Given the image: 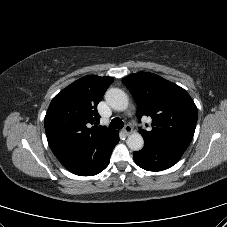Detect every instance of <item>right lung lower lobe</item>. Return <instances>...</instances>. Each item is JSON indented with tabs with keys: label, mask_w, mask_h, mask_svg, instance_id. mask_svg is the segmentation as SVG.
Segmentation results:
<instances>
[{
	"label": "right lung lower lobe",
	"mask_w": 227,
	"mask_h": 227,
	"mask_svg": "<svg viewBox=\"0 0 227 227\" xmlns=\"http://www.w3.org/2000/svg\"><path fill=\"white\" fill-rule=\"evenodd\" d=\"M119 142L118 131L101 139L78 153L57 157L70 172L79 176H92L103 171L110 162L113 148Z\"/></svg>",
	"instance_id": "98d812e1"
}]
</instances>
